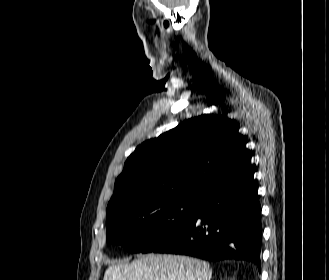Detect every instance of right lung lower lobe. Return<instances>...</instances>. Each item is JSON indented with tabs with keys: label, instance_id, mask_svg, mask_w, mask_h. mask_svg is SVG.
Instances as JSON below:
<instances>
[{
	"label": "right lung lower lobe",
	"instance_id": "right-lung-lower-lobe-1",
	"mask_svg": "<svg viewBox=\"0 0 329 280\" xmlns=\"http://www.w3.org/2000/svg\"><path fill=\"white\" fill-rule=\"evenodd\" d=\"M250 161L213 182L186 224L152 252L237 259L260 269L261 208Z\"/></svg>",
	"mask_w": 329,
	"mask_h": 280
}]
</instances>
